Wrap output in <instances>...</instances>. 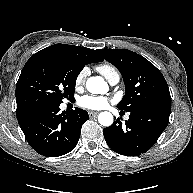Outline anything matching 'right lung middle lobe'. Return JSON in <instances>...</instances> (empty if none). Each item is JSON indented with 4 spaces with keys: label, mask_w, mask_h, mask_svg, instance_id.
Masks as SVG:
<instances>
[{
    "label": "right lung middle lobe",
    "mask_w": 193,
    "mask_h": 193,
    "mask_svg": "<svg viewBox=\"0 0 193 193\" xmlns=\"http://www.w3.org/2000/svg\"><path fill=\"white\" fill-rule=\"evenodd\" d=\"M85 65L59 59H39L24 66L16 85L17 108L26 114L63 98H73L76 79Z\"/></svg>",
    "instance_id": "dd1d6c3e"
}]
</instances>
